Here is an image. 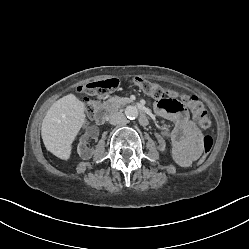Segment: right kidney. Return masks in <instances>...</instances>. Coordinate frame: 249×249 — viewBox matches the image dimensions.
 Listing matches in <instances>:
<instances>
[{"label": "right kidney", "mask_w": 249, "mask_h": 249, "mask_svg": "<svg viewBox=\"0 0 249 249\" xmlns=\"http://www.w3.org/2000/svg\"><path fill=\"white\" fill-rule=\"evenodd\" d=\"M98 131H99L98 127L93 125V126H90L89 129L86 130L85 135L82 136L77 147V152L83 160H88L92 157L93 150L86 146V142L88 138L90 139L94 138L95 135L98 134Z\"/></svg>", "instance_id": "right-kidney-1"}]
</instances>
